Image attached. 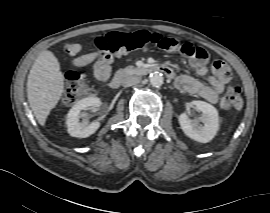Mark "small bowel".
I'll return each instance as SVG.
<instances>
[{
	"label": "small bowel",
	"mask_w": 270,
	"mask_h": 213,
	"mask_svg": "<svg viewBox=\"0 0 270 213\" xmlns=\"http://www.w3.org/2000/svg\"><path fill=\"white\" fill-rule=\"evenodd\" d=\"M81 50L82 46L78 43L67 44L64 48L65 53L70 56H76L81 52ZM189 58L191 67L198 76L203 78L206 84L195 77L180 75L176 79V86L187 93L200 96L210 102H216L219 94L224 91L226 84L230 81V77L220 78L217 76L214 69V73L210 74V66L205 59H197L194 56H190ZM73 63L77 67H84L92 64V73L95 79L99 82L107 83L112 76L111 66L105 62L97 60L96 52H88L79 55L74 59ZM168 67L175 77V71L171 66Z\"/></svg>",
	"instance_id": "1"
}]
</instances>
